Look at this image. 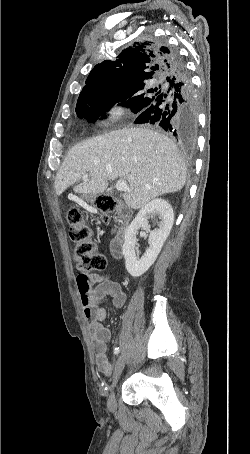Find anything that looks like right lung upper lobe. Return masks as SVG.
I'll use <instances>...</instances> for the list:
<instances>
[{"mask_svg": "<svg viewBox=\"0 0 250 454\" xmlns=\"http://www.w3.org/2000/svg\"><path fill=\"white\" fill-rule=\"evenodd\" d=\"M170 68L166 46L151 40L135 42L116 60H105L91 70L77 104L117 97L152 78L163 80Z\"/></svg>", "mask_w": 250, "mask_h": 454, "instance_id": "cb5924a9", "label": "right lung upper lobe"}]
</instances>
